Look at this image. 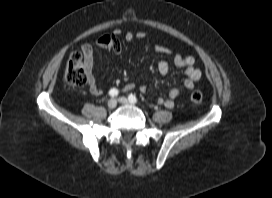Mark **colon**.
I'll list each match as a JSON object with an SVG mask.
<instances>
[{
  "label": "colon",
  "instance_id": "1",
  "mask_svg": "<svg viewBox=\"0 0 272 198\" xmlns=\"http://www.w3.org/2000/svg\"><path fill=\"white\" fill-rule=\"evenodd\" d=\"M64 78L66 83L72 87H82L87 83L85 58L79 51H74L70 54ZM202 98V94L199 91H194L190 95V100L195 105L200 104Z\"/></svg>",
  "mask_w": 272,
  "mask_h": 198
}]
</instances>
